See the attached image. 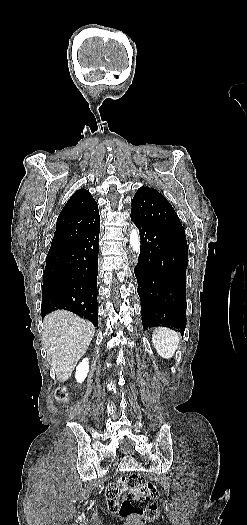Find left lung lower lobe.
I'll return each instance as SVG.
<instances>
[{
  "label": "left lung lower lobe",
  "mask_w": 247,
  "mask_h": 525,
  "mask_svg": "<svg viewBox=\"0 0 247 525\" xmlns=\"http://www.w3.org/2000/svg\"><path fill=\"white\" fill-rule=\"evenodd\" d=\"M141 248L135 275L141 300L142 325L186 327L188 246L177 236L150 223L134 221Z\"/></svg>",
  "instance_id": "1"
}]
</instances>
